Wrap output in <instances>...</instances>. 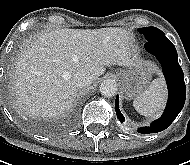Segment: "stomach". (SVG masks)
<instances>
[{"mask_svg":"<svg viewBox=\"0 0 190 165\" xmlns=\"http://www.w3.org/2000/svg\"><path fill=\"white\" fill-rule=\"evenodd\" d=\"M155 67L150 63H139L127 69L119 70L120 80L125 96L133 99L141 95L149 86Z\"/></svg>","mask_w":190,"mask_h":165,"instance_id":"obj_1","label":"stomach"}]
</instances>
